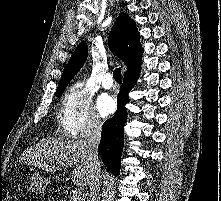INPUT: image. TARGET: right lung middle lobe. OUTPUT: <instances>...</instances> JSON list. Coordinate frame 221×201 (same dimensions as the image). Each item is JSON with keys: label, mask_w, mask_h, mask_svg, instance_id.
<instances>
[{"label": "right lung middle lobe", "mask_w": 221, "mask_h": 201, "mask_svg": "<svg viewBox=\"0 0 221 201\" xmlns=\"http://www.w3.org/2000/svg\"><path fill=\"white\" fill-rule=\"evenodd\" d=\"M63 91H58L55 93V96L60 97Z\"/></svg>", "instance_id": "obj_1"}]
</instances>
